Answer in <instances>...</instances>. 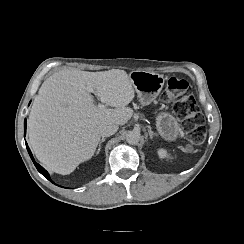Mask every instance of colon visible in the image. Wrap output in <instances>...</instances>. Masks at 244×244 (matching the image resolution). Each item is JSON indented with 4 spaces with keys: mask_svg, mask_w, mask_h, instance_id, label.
<instances>
[{
    "mask_svg": "<svg viewBox=\"0 0 244 244\" xmlns=\"http://www.w3.org/2000/svg\"><path fill=\"white\" fill-rule=\"evenodd\" d=\"M161 100L173 103L175 113L185 119L184 125L192 143L201 144L205 141L204 117L191 94V85L187 80L176 76L170 77L161 94Z\"/></svg>",
    "mask_w": 244,
    "mask_h": 244,
    "instance_id": "5ec220e1",
    "label": "colon"
}]
</instances>
